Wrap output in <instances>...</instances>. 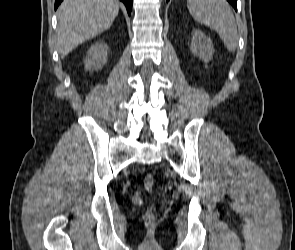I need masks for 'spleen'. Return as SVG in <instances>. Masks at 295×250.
Masks as SVG:
<instances>
[{
  "label": "spleen",
  "mask_w": 295,
  "mask_h": 250,
  "mask_svg": "<svg viewBox=\"0 0 295 250\" xmlns=\"http://www.w3.org/2000/svg\"><path fill=\"white\" fill-rule=\"evenodd\" d=\"M192 17L214 29L226 48L233 52L238 46L237 25L226 0H187Z\"/></svg>",
  "instance_id": "3e777b00"
}]
</instances>
